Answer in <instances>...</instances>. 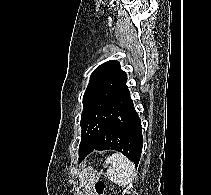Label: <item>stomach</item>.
Returning <instances> with one entry per match:
<instances>
[{
  "mask_svg": "<svg viewBox=\"0 0 211 195\" xmlns=\"http://www.w3.org/2000/svg\"><path fill=\"white\" fill-rule=\"evenodd\" d=\"M99 179L98 173L93 168H88L82 175V184L85 186L86 195H90V188ZM84 195V194H82Z\"/></svg>",
  "mask_w": 211,
  "mask_h": 195,
  "instance_id": "0dacf381",
  "label": "stomach"
}]
</instances>
